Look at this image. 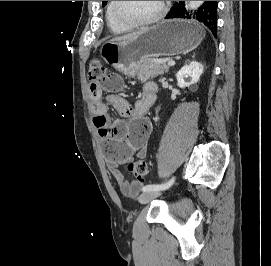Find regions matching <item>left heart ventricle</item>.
<instances>
[{"label":"left heart ventricle","instance_id":"obj_1","mask_svg":"<svg viewBox=\"0 0 271 266\" xmlns=\"http://www.w3.org/2000/svg\"><path fill=\"white\" fill-rule=\"evenodd\" d=\"M160 7V1H121V13L132 20H144L153 16Z\"/></svg>","mask_w":271,"mask_h":266}]
</instances>
